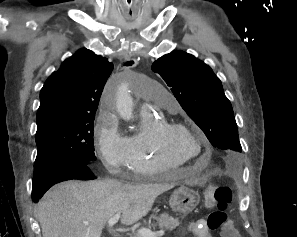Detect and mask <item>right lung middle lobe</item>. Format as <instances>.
Instances as JSON below:
<instances>
[{
    "label": "right lung middle lobe",
    "instance_id": "obj_1",
    "mask_svg": "<svg viewBox=\"0 0 297 237\" xmlns=\"http://www.w3.org/2000/svg\"><path fill=\"white\" fill-rule=\"evenodd\" d=\"M94 118L52 117L37 123V157L34 163L33 187L46 183L50 171L66 163L88 165L94 154Z\"/></svg>",
    "mask_w": 297,
    "mask_h": 237
}]
</instances>
